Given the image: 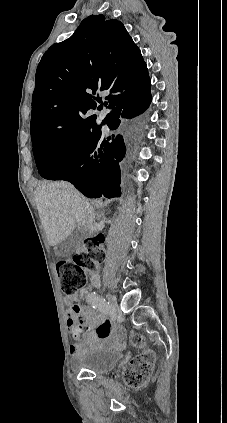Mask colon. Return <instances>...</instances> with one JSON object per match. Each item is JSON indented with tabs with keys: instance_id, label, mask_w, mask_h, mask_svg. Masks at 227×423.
<instances>
[{
	"instance_id": "colon-1",
	"label": "colon",
	"mask_w": 227,
	"mask_h": 423,
	"mask_svg": "<svg viewBox=\"0 0 227 423\" xmlns=\"http://www.w3.org/2000/svg\"><path fill=\"white\" fill-rule=\"evenodd\" d=\"M104 241L102 234L89 237L84 244L93 257L86 254L77 255L73 261L60 260L57 265V273L61 280V289L67 296L75 293L86 281L85 270L92 269L94 262L102 258L100 246ZM131 342L136 347L143 346V339L133 335ZM153 356L151 352L145 351L133 358L127 365L125 379L133 387H142L148 381L152 369Z\"/></svg>"
}]
</instances>
